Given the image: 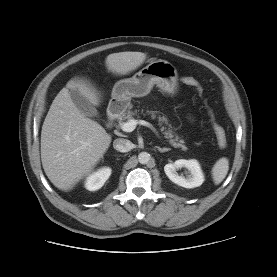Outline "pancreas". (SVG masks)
Here are the masks:
<instances>
[{
	"label": "pancreas",
	"mask_w": 277,
	"mask_h": 277,
	"mask_svg": "<svg viewBox=\"0 0 277 277\" xmlns=\"http://www.w3.org/2000/svg\"><path fill=\"white\" fill-rule=\"evenodd\" d=\"M131 108H132V106H130V108L119 117L120 125H122L124 123L123 121H125V120L129 121L130 119H133V116L137 114V111L136 110L132 111V110H130ZM149 113L151 114V117L154 119V118H156V114L158 113V111H150ZM158 120H159L160 126L162 124L168 125V120L165 116L159 115ZM161 131L163 132L164 137L169 140V143L173 147L182 148V150H184V151L187 150V147L184 145V143H185L184 140L180 139V137L173 134L171 125H169V128L167 130L165 127H162Z\"/></svg>",
	"instance_id": "obj_1"
}]
</instances>
